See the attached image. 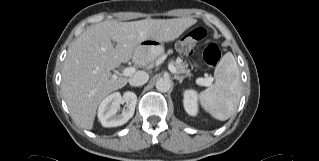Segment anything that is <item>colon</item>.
I'll use <instances>...</instances> for the list:
<instances>
[{
  "instance_id": "colon-1",
  "label": "colon",
  "mask_w": 319,
  "mask_h": 161,
  "mask_svg": "<svg viewBox=\"0 0 319 161\" xmlns=\"http://www.w3.org/2000/svg\"><path fill=\"white\" fill-rule=\"evenodd\" d=\"M207 36L203 27H195L179 41L178 48L182 53H188L196 43L202 41ZM203 60L209 65H217L221 59V49L216 42H210L202 53Z\"/></svg>"
}]
</instances>
